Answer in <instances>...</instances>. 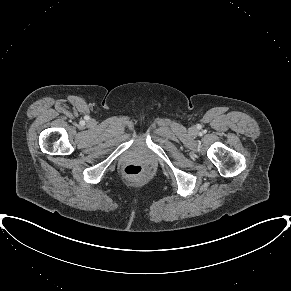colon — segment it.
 Segmentation results:
<instances>
[{
	"label": "colon",
	"mask_w": 291,
	"mask_h": 291,
	"mask_svg": "<svg viewBox=\"0 0 291 291\" xmlns=\"http://www.w3.org/2000/svg\"><path fill=\"white\" fill-rule=\"evenodd\" d=\"M123 171L129 177H140L144 173V168L140 165H127Z\"/></svg>",
	"instance_id": "5ec220e1"
}]
</instances>
